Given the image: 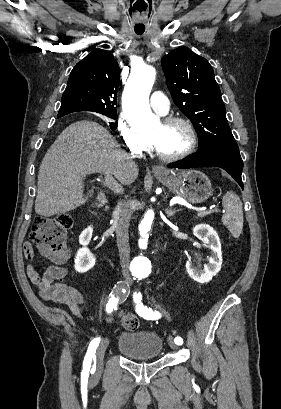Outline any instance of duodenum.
<instances>
[{"mask_svg":"<svg viewBox=\"0 0 281 409\" xmlns=\"http://www.w3.org/2000/svg\"><path fill=\"white\" fill-rule=\"evenodd\" d=\"M107 192V189L105 188V187H102L101 189H100V192L98 193V196L100 197V198H103L104 196H105V193Z\"/></svg>","mask_w":281,"mask_h":409,"instance_id":"410a0bca","label":"duodenum"}]
</instances>
